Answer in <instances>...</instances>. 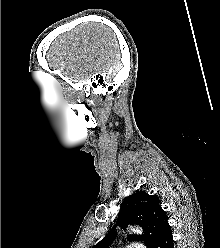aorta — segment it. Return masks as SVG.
Returning a JSON list of instances; mask_svg holds the SVG:
<instances>
[{
	"label": "aorta",
	"instance_id": "762f6f07",
	"mask_svg": "<svg viewBox=\"0 0 220 248\" xmlns=\"http://www.w3.org/2000/svg\"><path fill=\"white\" fill-rule=\"evenodd\" d=\"M132 231H134L135 233H141L142 231L140 230V229H138V228H132Z\"/></svg>",
	"mask_w": 220,
	"mask_h": 248
}]
</instances>
